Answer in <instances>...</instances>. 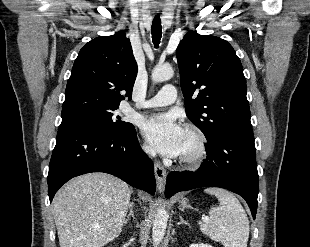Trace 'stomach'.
<instances>
[{
	"label": "stomach",
	"mask_w": 310,
	"mask_h": 247,
	"mask_svg": "<svg viewBox=\"0 0 310 247\" xmlns=\"http://www.w3.org/2000/svg\"><path fill=\"white\" fill-rule=\"evenodd\" d=\"M179 204L181 207L185 208L188 206V201L184 198H182L181 200H179Z\"/></svg>",
	"instance_id": "1"
}]
</instances>
